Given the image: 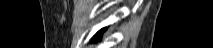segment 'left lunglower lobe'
Instances as JSON below:
<instances>
[{"instance_id":"obj_1","label":"left lung lower lobe","mask_w":213,"mask_h":48,"mask_svg":"<svg viewBox=\"0 0 213 48\" xmlns=\"http://www.w3.org/2000/svg\"><path fill=\"white\" fill-rule=\"evenodd\" d=\"M106 30V28H102L100 31H98L96 33V35L94 36V40L99 39L102 36V33Z\"/></svg>"}]
</instances>
